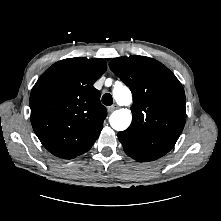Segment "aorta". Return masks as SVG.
Instances as JSON below:
<instances>
[{
	"instance_id": "aorta-1",
	"label": "aorta",
	"mask_w": 221,
	"mask_h": 221,
	"mask_svg": "<svg viewBox=\"0 0 221 221\" xmlns=\"http://www.w3.org/2000/svg\"><path fill=\"white\" fill-rule=\"evenodd\" d=\"M113 97L120 106H129L132 103L131 91L127 86L122 84L113 89ZM131 121L132 114L127 108L114 111L109 118L111 127L116 131L126 130L131 124Z\"/></svg>"
}]
</instances>
